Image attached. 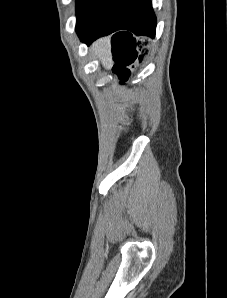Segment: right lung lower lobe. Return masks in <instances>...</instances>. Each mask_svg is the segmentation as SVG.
Wrapping results in <instances>:
<instances>
[{
	"label": "right lung lower lobe",
	"instance_id": "98d812e1",
	"mask_svg": "<svg viewBox=\"0 0 227 298\" xmlns=\"http://www.w3.org/2000/svg\"><path fill=\"white\" fill-rule=\"evenodd\" d=\"M156 16L151 0H111L80 32V40L87 45L95 39L114 33L112 53L116 64H129L132 53L133 36L146 35L155 37ZM119 75L127 71L114 67Z\"/></svg>",
	"mask_w": 227,
	"mask_h": 298
}]
</instances>
